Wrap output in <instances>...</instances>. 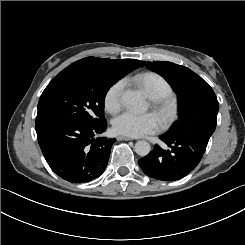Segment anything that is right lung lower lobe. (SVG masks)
I'll return each instance as SVG.
<instances>
[{
	"mask_svg": "<svg viewBox=\"0 0 245 245\" xmlns=\"http://www.w3.org/2000/svg\"><path fill=\"white\" fill-rule=\"evenodd\" d=\"M105 120L98 123L68 120L36 124L42 153L50 168L71 183H85L98 178L105 170L115 138L96 134L106 130Z\"/></svg>",
	"mask_w": 245,
	"mask_h": 245,
	"instance_id": "right-lung-lower-lobe-1",
	"label": "right lung lower lobe"
}]
</instances>
